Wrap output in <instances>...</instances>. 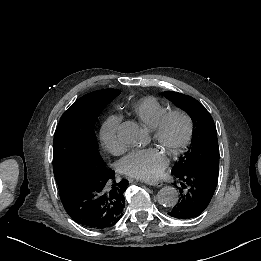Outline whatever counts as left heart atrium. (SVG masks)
Instances as JSON below:
<instances>
[{
  "label": "left heart atrium",
  "mask_w": 261,
  "mask_h": 261,
  "mask_svg": "<svg viewBox=\"0 0 261 261\" xmlns=\"http://www.w3.org/2000/svg\"><path fill=\"white\" fill-rule=\"evenodd\" d=\"M166 166V155L155 146L133 149L119 162L122 173L141 180L158 179Z\"/></svg>",
  "instance_id": "1"
}]
</instances>
